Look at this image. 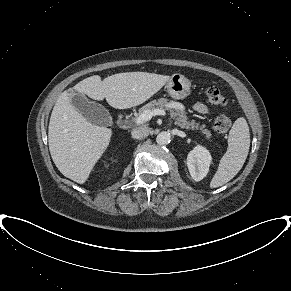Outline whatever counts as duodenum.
<instances>
[{"instance_id": "1", "label": "duodenum", "mask_w": 291, "mask_h": 291, "mask_svg": "<svg viewBox=\"0 0 291 291\" xmlns=\"http://www.w3.org/2000/svg\"><path fill=\"white\" fill-rule=\"evenodd\" d=\"M120 122H121V124H122L123 126H127V120L124 119V117H121V118H120Z\"/></svg>"}]
</instances>
